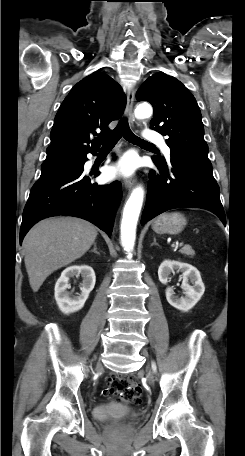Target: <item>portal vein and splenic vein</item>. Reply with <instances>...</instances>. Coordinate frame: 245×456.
Wrapping results in <instances>:
<instances>
[{"label":"portal vein and splenic vein","mask_w":245,"mask_h":456,"mask_svg":"<svg viewBox=\"0 0 245 456\" xmlns=\"http://www.w3.org/2000/svg\"><path fill=\"white\" fill-rule=\"evenodd\" d=\"M182 245H183V243L180 242V243L176 244V247H181Z\"/></svg>","instance_id":"obj_1"}]
</instances>
